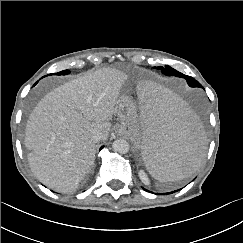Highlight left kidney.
Segmentation results:
<instances>
[{
  "label": "left kidney",
  "mask_w": 243,
  "mask_h": 243,
  "mask_svg": "<svg viewBox=\"0 0 243 243\" xmlns=\"http://www.w3.org/2000/svg\"><path fill=\"white\" fill-rule=\"evenodd\" d=\"M139 177H140L141 181L145 185H149L150 184L149 178H148L147 174L143 170L139 171Z\"/></svg>",
  "instance_id": "1"
}]
</instances>
